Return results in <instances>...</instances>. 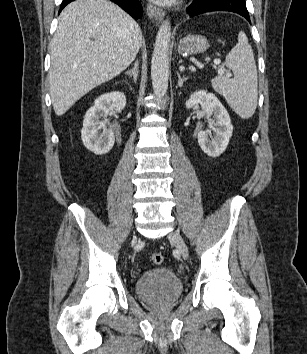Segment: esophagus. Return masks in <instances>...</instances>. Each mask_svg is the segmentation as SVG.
Segmentation results:
<instances>
[{
    "label": "esophagus",
    "instance_id": "esophagus-1",
    "mask_svg": "<svg viewBox=\"0 0 307 354\" xmlns=\"http://www.w3.org/2000/svg\"><path fill=\"white\" fill-rule=\"evenodd\" d=\"M146 12H147V15L151 19H154L157 24L163 20L164 15H165V12L163 11V9L156 7L152 4H147Z\"/></svg>",
    "mask_w": 307,
    "mask_h": 354
}]
</instances>
